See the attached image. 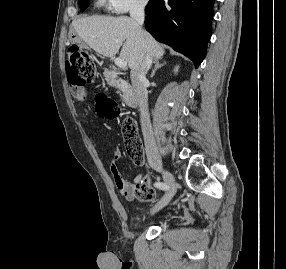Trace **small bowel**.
Here are the masks:
<instances>
[{"label": "small bowel", "instance_id": "1", "mask_svg": "<svg viewBox=\"0 0 286 269\" xmlns=\"http://www.w3.org/2000/svg\"><path fill=\"white\" fill-rule=\"evenodd\" d=\"M115 93L119 92L118 88L114 89ZM72 96L79 100L82 101L85 98V90L83 88H79L76 93H72ZM121 159V152L118 148H114L112 150V159L109 165L110 172L112 174V177L114 179L115 185L118 189V191L123 195L126 199L128 200H134L135 195H134V187L135 183L140 181L142 178L145 176L143 174H139L135 178V183H131L127 181L121 174L120 169L118 167V162Z\"/></svg>", "mask_w": 286, "mask_h": 269}]
</instances>
